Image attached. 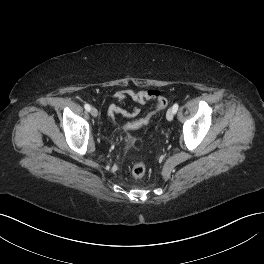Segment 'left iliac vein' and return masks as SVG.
I'll return each mask as SVG.
<instances>
[{"label":"left iliac vein","mask_w":264,"mask_h":264,"mask_svg":"<svg viewBox=\"0 0 264 264\" xmlns=\"http://www.w3.org/2000/svg\"><path fill=\"white\" fill-rule=\"evenodd\" d=\"M174 111L172 108L168 109L167 113H166V118L167 120L171 121L174 117Z\"/></svg>","instance_id":"obj_1"}]
</instances>
